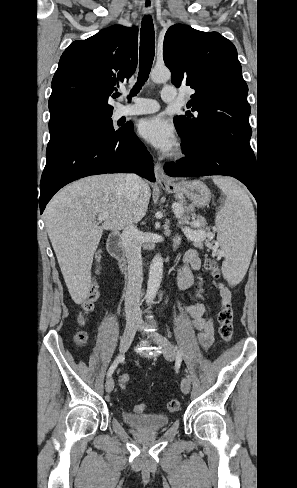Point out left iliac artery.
Wrapping results in <instances>:
<instances>
[{
	"label": "left iliac artery",
	"mask_w": 297,
	"mask_h": 488,
	"mask_svg": "<svg viewBox=\"0 0 297 488\" xmlns=\"http://www.w3.org/2000/svg\"><path fill=\"white\" fill-rule=\"evenodd\" d=\"M178 356L180 357L181 356V353L178 351ZM189 380H191L190 376L188 375L187 376Z\"/></svg>",
	"instance_id": "44dca946"
}]
</instances>
